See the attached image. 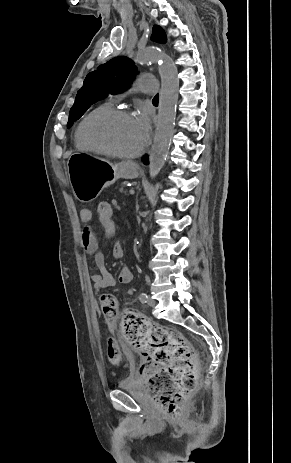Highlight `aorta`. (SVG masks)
Returning <instances> with one entry per match:
<instances>
[{
    "label": "aorta",
    "instance_id": "obj_1",
    "mask_svg": "<svg viewBox=\"0 0 291 463\" xmlns=\"http://www.w3.org/2000/svg\"><path fill=\"white\" fill-rule=\"evenodd\" d=\"M136 61L140 64L158 62L160 65L161 91L158 121L149 158V174L153 179L162 169L170 147L178 101V72L171 58L159 52L155 47L139 51Z\"/></svg>",
    "mask_w": 291,
    "mask_h": 463
}]
</instances>
